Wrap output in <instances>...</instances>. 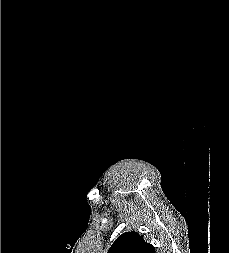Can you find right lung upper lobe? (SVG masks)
<instances>
[{
	"mask_svg": "<svg viewBox=\"0 0 229 253\" xmlns=\"http://www.w3.org/2000/svg\"><path fill=\"white\" fill-rule=\"evenodd\" d=\"M108 253H155V249L145 242L142 236L132 231L119 236Z\"/></svg>",
	"mask_w": 229,
	"mask_h": 253,
	"instance_id": "right-lung-upper-lobe-1",
	"label": "right lung upper lobe"
}]
</instances>
